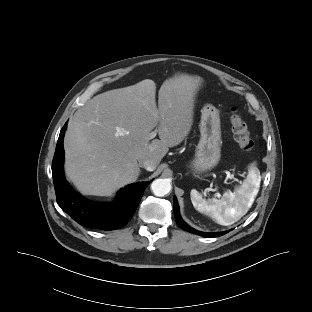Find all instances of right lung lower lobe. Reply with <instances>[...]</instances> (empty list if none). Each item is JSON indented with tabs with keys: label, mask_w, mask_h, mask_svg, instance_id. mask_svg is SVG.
Wrapping results in <instances>:
<instances>
[{
	"label": "right lung lower lobe",
	"mask_w": 312,
	"mask_h": 312,
	"mask_svg": "<svg viewBox=\"0 0 312 312\" xmlns=\"http://www.w3.org/2000/svg\"><path fill=\"white\" fill-rule=\"evenodd\" d=\"M67 122L57 141L52 163V175L58 205L77 223L99 230H115L125 226L140 203L150 182H138L121 189L113 203H96L74 192L63 173V137Z\"/></svg>",
	"instance_id": "1"
}]
</instances>
